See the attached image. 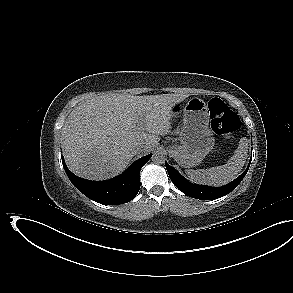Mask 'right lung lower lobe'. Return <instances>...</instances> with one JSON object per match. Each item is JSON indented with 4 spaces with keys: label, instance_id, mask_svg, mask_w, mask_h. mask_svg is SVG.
Returning <instances> with one entry per match:
<instances>
[{
    "label": "right lung lower lobe",
    "instance_id": "98d812e1",
    "mask_svg": "<svg viewBox=\"0 0 293 293\" xmlns=\"http://www.w3.org/2000/svg\"><path fill=\"white\" fill-rule=\"evenodd\" d=\"M152 154L135 161L124 173L106 181H91L74 175L66 166L63 167L74 186L89 199L107 205L123 204L131 201L140 189V169L148 162Z\"/></svg>",
    "mask_w": 293,
    "mask_h": 293
}]
</instances>
